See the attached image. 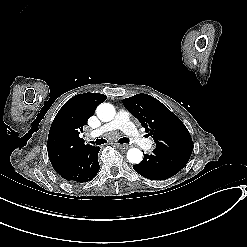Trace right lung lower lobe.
<instances>
[{
	"label": "right lung lower lobe",
	"mask_w": 247,
	"mask_h": 247,
	"mask_svg": "<svg viewBox=\"0 0 247 247\" xmlns=\"http://www.w3.org/2000/svg\"><path fill=\"white\" fill-rule=\"evenodd\" d=\"M100 147L89 145L81 150L71 161L55 169L68 181L83 183L92 180L99 171L98 152Z\"/></svg>",
	"instance_id": "98d812e1"
}]
</instances>
